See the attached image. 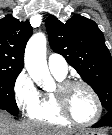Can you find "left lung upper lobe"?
I'll return each instance as SVG.
<instances>
[{"label":"left lung upper lobe","instance_id":"left-lung-upper-lobe-1","mask_svg":"<svg viewBox=\"0 0 112 135\" xmlns=\"http://www.w3.org/2000/svg\"><path fill=\"white\" fill-rule=\"evenodd\" d=\"M49 43L97 93L106 111H112V58L97 24L79 14L62 23L46 19Z\"/></svg>","mask_w":112,"mask_h":135}]
</instances>
